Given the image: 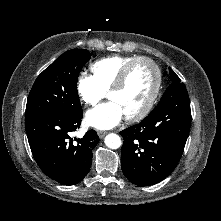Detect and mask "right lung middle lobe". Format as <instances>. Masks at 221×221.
Here are the masks:
<instances>
[{
    "mask_svg": "<svg viewBox=\"0 0 221 221\" xmlns=\"http://www.w3.org/2000/svg\"><path fill=\"white\" fill-rule=\"evenodd\" d=\"M91 54L86 49H72L63 53L36 79L27 99L25 118L63 112L82 114L77 92V80Z\"/></svg>",
    "mask_w": 221,
    "mask_h": 221,
    "instance_id": "obj_1",
    "label": "right lung middle lobe"
}]
</instances>
